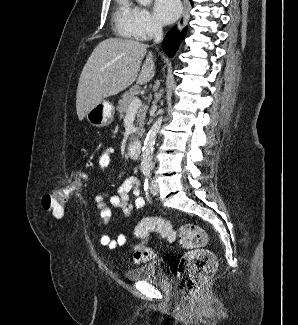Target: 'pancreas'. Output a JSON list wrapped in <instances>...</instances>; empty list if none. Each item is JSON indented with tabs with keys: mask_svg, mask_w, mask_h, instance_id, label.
<instances>
[{
	"mask_svg": "<svg viewBox=\"0 0 298 325\" xmlns=\"http://www.w3.org/2000/svg\"><path fill=\"white\" fill-rule=\"evenodd\" d=\"M138 92H141V88H136V86H132V88H129V90H126V92H123V94H121V98L120 100H118V104H117V112L119 118H124L130 102H132L133 98H135V94H138ZM148 108H149L148 104H143V106H140L136 114L137 136H135V134H131V136H129V140H132V138H138V136H141V134L145 132L144 124H145L146 112Z\"/></svg>",
	"mask_w": 298,
	"mask_h": 325,
	"instance_id": "cf45deb5",
	"label": "pancreas"
}]
</instances>
